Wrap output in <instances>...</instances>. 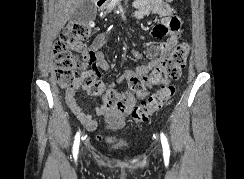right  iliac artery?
<instances>
[{
    "instance_id": "82829eb1",
    "label": "right iliac artery",
    "mask_w": 244,
    "mask_h": 179,
    "mask_svg": "<svg viewBox=\"0 0 244 179\" xmlns=\"http://www.w3.org/2000/svg\"><path fill=\"white\" fill-rule=\"evenodd\" d=\"M79 142H80V134L79 132L75 136L74 146H73V156L76 159L79 149Z\"/></svg>"
}]
</instances>
